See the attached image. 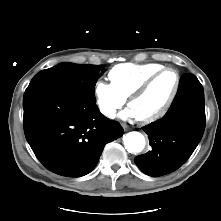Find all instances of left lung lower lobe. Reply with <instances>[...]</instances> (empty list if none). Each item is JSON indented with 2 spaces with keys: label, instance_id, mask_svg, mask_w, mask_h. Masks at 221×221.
Listing matches in <instances>:
<instances>
[{
  "label": "left lung lower lobe",
  "instance_id": "obj_1",
  "mask_svg": "<svg viewBox=\"0 0 221 221\" xmlns=\"http://www.w3.org/2000/svg\"><path fill=\"white\" fill-rule=\"evenodd\" d=\"M205 122L203 87L194 75H185L168 112L143 127L152 149L135 157L136 165L153 177L177 170L200 142Z\"/></svg>",
  "mask_w": 221,
  "mask_h": 221
}]
</instances>
